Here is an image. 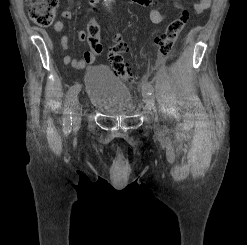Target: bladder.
Returning a JSON list of instances; mask_svg holds the SVG:
<instances>
[{
	"instance_id": "1",
	"label": "bladder",
	"mask_w": 247,
	"mask_h": 245,
	"mask_svg": "<svg viewBox=\"0 0 247 245\" xmlns=\"http://www.w3.org/2000/svg\"><path fill=\"white\" fill-rule=\"evenodd\" d=\"M87 97L100 112L113 116H128L135 111V102L128 85L111 69L93 66L85 74Z\"/></svg>"
}]
</instances>
